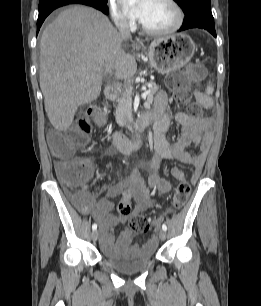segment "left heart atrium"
I'll return each mask as SVG.
<instances>
[{"instance_id": "1", "label": "left heart atrium", "mask_w": 261, "mask_h": 306, "mask_svg": "<svg viewBox=\"0 0 261 306\" xmlns=\"http://www.w3.org/2000/svg\"><path fill=\"white\" fill-rule=\"evenodd\" d=\"M149 0H121L126 13L135 19H140Z\"/></svg>"}]
</instances>
